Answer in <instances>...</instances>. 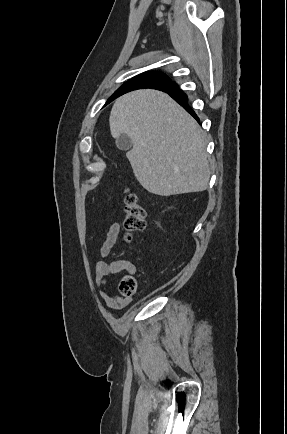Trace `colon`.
Masks as SVG:
<instances>
[{"label": "colon", "instance_id": "1", "mask_svg": "<svg viewBox=\"0 0 287 434\" xmlns=\"http://www.w3.org/2000/svg\"><path fill=\"white\" fill-rule=\"evenodd\" d=\"M124 229L128 239L132 235L145 229L146 213L137 194L127 191L125 195ZM137 281L133 276H125L119 283V293L126 298L132 297L137 292Z\"/></svg>", "mask_w": 287, "mask_h": 434}]
</instances>
